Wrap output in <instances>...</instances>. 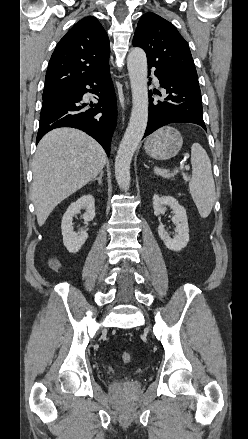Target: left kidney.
<instances>
[{
    "instance_id": "5707ae66",
    "label": "left kidney",
    "mask_w": 248,
    "mask_h": 439,
    "mask_svg": "<svg viewBox=\"0 0 248 439\" xmlns=\"http://www.w3.org/2000/svg\"><path fill=\"white\" fill-rule=\"evenodd\" d=\"M166 206H169L174 213L172 221L176 224L177 235L171 238L162 224L158 226V234L168 249L178 252L185 248L189 241L186 210L183 206L179 205L178 201L172 196H160L154 194L153 208L155 216L164 213L166 211Z\"/></svg>"
}]
</instances>
